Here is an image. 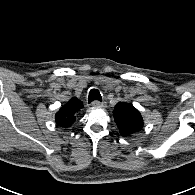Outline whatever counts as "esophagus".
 Instances as JSON below:
<instances>
[{
	"mask_svg": "<svg viewBox=\"0 0 195 195\" xmlns=\"http://www.w3.org/2000/svg\"><path fill=\"white\" fill-rule=\"evenodd\" d=\"M92 105H93L94 107H105V106H106V103L100 102V101H94V102L92 103Z\"/></svg>",
	"mask_w": 195,
	"mask_h": 195,
	"instance_id": "1",
	"label": "esophagus"
}]
</instances>
